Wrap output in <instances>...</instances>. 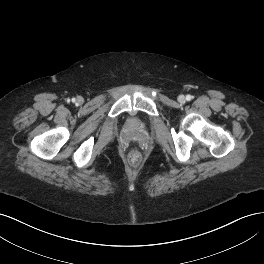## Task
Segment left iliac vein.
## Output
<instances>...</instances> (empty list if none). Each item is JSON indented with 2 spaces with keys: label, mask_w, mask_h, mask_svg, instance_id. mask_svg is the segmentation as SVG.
Instances as JSON below:
<instances>
[{
  "label": "left iliac vein",
  "mask_w": 264,
  "mask_h": 264,
  "mask_svg": "<svg viewBox=\"0 0 264 264\" xmlns=\"http://www.w3.org/2000/svg\"><path fill=\"white\" fill-rule=\"evenodd\" d=\"M178 101H179L180 103L185 102V96H184V95H179V96H178Z\"/></svg>",
  "instance_id": "1"
}]
</instances>
